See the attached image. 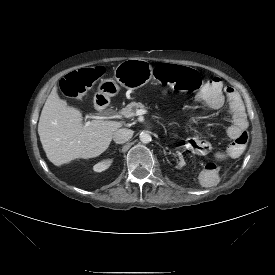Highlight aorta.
<instances>
[{"mask_svg":"<svg viewBox=\"0 0 275 275\" xmlns=\"http://www.w3.org/2000/svg\"><path fill=\"white\" fill-rule=\"evenodd\" d=\"M139 137L140 141L145 144L149 143L152 140L150 134H148L147 132H141Z\"/></svg>","mask_w":275,"mask_h":275,"instance_id":"aorta-1","label":"aorta"}]
</instances>
